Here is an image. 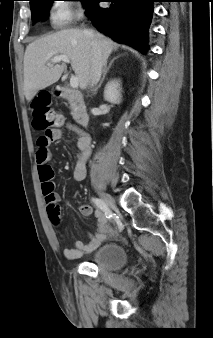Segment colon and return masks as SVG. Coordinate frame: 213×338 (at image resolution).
Instances as JSON below:
<instances>
[{"mask_svg": "<svg viewBox=\"0 0 213 338\" xmlns=\"http://www.w3.org/2000/svg\"><path fill=\"white\" fill-rule=\"evenodd\" d=\"M34 109V127L45 132V135L50 137L52 135L53 127L59 126L63 123V118L52 111L50 108V97L47 95L39 96L33 103ZM54 174L52 170L43 169L40 171V182L42 192L47 202L53 195L54 189ZM51 221L57 224L59 218L52 217Z\"/></svg>", "mask_w": 213, "mask_h": 338, "instance_id": "5ec220e1", "label": "colon"}]
</instances>
